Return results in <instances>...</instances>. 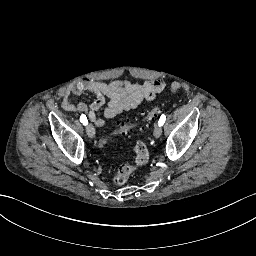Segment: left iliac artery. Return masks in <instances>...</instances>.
<instances>
[{
  "instance_id": "left-iliac-artery-1",
  "label": "left iliac artery",
  "mask_w": 256,
  "mask_h": 256,
  "mask_svg": "<svg viewBox=\"0 0 256 256\" xmlns=\"http://www.w3.org/2000/svg\"><path fill=\"white\" fill-rule=\"evenodd\" d=\"M166 116L164 114L161 115L158 124L162 126L165 123Z\"/></svg>"
}]
</instances>
